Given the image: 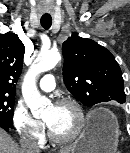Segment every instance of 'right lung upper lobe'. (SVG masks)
I'll return each instance as SVG.
<instances>
[{
	"mask_svg": "<svg viewBox=\"0 0 130 153\" xmlns=\"http://www.w3.org/2000/svg\"><path fill=\"white\" fill-rule=\"evenodd\" d=\"M24 52V45L16 34H0V94L15 96Z\"/></svg>",
	"mask_w": 130,
	"mask_h": 153,
	"instance_id": "obj_1",
	"label": "right lung upper lobe"
}]
</instances>
